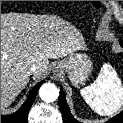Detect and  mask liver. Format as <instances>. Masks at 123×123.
<instances>
[{"label":"liver","mask_w":123,"mask_h":123,"mask_svg":"<svg viewBox=\"0 0 123 123\" xmlns=\"http://www.w3.org/2000/svg\"><path fill=\"white\" fill-rule=\"evenodd\" d=\"M83 36L73 25L54 16L1 15V110L7 108L29 82V69L41 76L48 59L84 50Z\"/></svg>","instance_id":"obj_1"}]
</instances>
